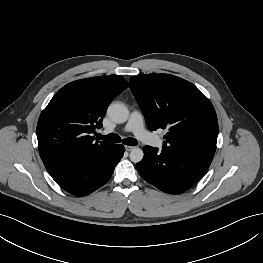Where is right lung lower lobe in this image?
<instances>
[{
	"label": "right lung lower lobe",
	"instance_id": "obj_1",
	"mask_svg": "<svg viewBox=\"0 0 263 263\" xmlns=\"http://www.w3.org/2000/svg\"><path fill=\"white\" fill-rule=\"evenodd\" d=\"M124 151L123 145L112 144L55 181L71 194L88 195L110 179Z\"/></svg>",
	"mask_w": 263,
	"mask_h": 263
}]
</instances>
